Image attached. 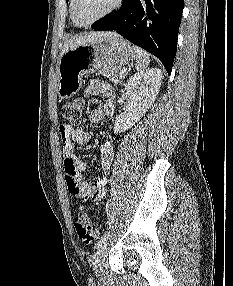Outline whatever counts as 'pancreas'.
<instances>
[{
  "instance_id": "cf45deb5",
  "label": "pancreas",
  "mask_w": 233,
  "mask_h": 286,
  "mask_svg": "<svg viewBox=\"0 0 233 286\" xmlns=\"http://www.w3.org/2000/svg\"><path fill=\"white\" fill-rule=\"evenodd\" d=\"M123 70L121 66L104 67L99 70V74H102L110 79L114 85L122 83L123 78L120 76V72Z\"/></svg>"
}]
</instances>
